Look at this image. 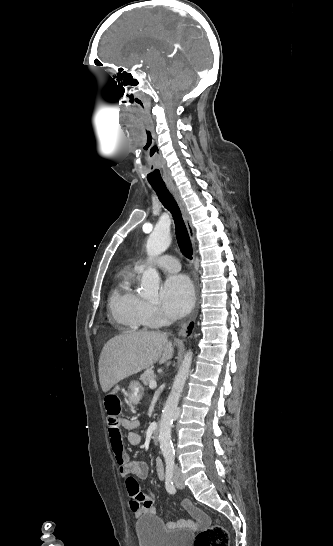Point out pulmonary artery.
Masks as SVG:
<instances>
[{"label":"pulmonary artery","instance_id":"1","mask_svg":"<svg viewBox=\"0 0 333 546\" xmlns=\"http://www.w3.org/2000/svg\"><path fill=\"white\" fill-rule=\"evenodd\" d=\"M150 264H153L154 266L168 272H178L180 270L179 261L171 255L161 256L160 258L154 261L143 259L137 262L135 267L137 270L142 271L146 267H148Z\"/></svg>","mask_w":333,"mask_h":546}]
</instances>
